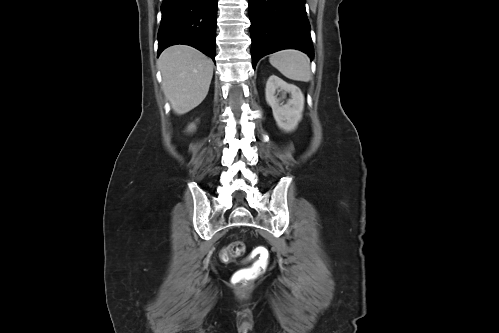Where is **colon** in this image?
Masks as SVG:
<instances>
[{
    "mask_svg": "<svg viewBox=\"0 0 499 333\" xmlns=\"http://www.w3.org/2000/svg\"><path fill=\"white\" fill-rule=\"evenodd\" d=\"M245 250V246L241 241H235L224 247L220 252V258L223 262H228L235 257L241 256ZM256 257L254 264L237 272L234 276V283L238 287H242L249 280L255 279L260 276L267 264L268 251L265 248H259L254 253Z\"/></svg>",
    "mask_w": 499,
    "mask_h": 333,
    "instance_id": "colon-1",
    "label": "colon"
}]
</instances>
